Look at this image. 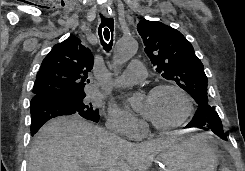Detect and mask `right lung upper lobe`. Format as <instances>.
Masks as SVG:
<instances>
[{"instance_id":"right-lung-upper-lobe-1","label":"right lung upper lobe","mask_w":245,"mask_h":171,"mask_svg":"<svg viewBox=\"0 0 245 171\" xmlns=\"http://www.w3.org/2000/svg\"><path fill=\"white\" fill-rule=\"evenodd\" d=\"M93 63L92 52L75 36L54 45L37 73L33 99L85 94L84 86L90 82L87 78Z\"/></svg>"}]
</instances>
